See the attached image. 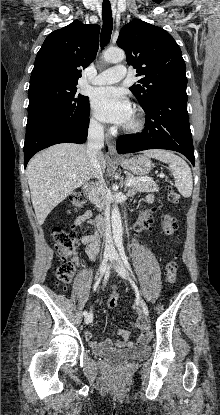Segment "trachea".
<instances>
[{
	"label": "trachea",
	"mask_w": 220,
	"mask_h": 415,
	"mask_svg": "<svg viewBox=\"0 0 220 415\" xmlns=\"http://www.w3.org/2000/svg\"><path fill=\"white\" fill-rule=\"evenodd\" d=\"M102 19L103 26L100 35V46L101 48H104L110 41L113 29V19L110 4L102 5Z\"/></svg>",
	"instance_id": "obj_1"
}]
</instances>
